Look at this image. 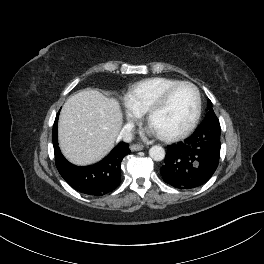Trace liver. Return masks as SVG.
I'll return each instance as SVG.
<instances>
[{
    "label": "liver",
    "instance_id": "obj_1",
    "mask_svg": "<svg viewBox=\"0 0 264 264\" xmlns=\"http://www.w3.org/2000/svg\"><path fill=\"white\" fill-rule=\"evenodd\" d=\"M122 121L116 99L97 90H82L69 97L61 109L59 146L76 165L97 162L114 147Z\"/></svg>",
    "mask_w": 264,
    "mask_h": 264
}]
</instances>
